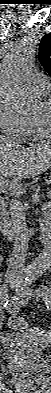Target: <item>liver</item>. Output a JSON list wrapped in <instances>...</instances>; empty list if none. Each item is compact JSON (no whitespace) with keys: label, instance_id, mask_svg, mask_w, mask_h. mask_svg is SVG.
<instances>
[{"label":"liver","instance_id":"obj_1","mask_svg":"<svg viewBox=\"0 0 51 393\" xmlns=\"http://www.w3.org/2000/svg\"><path fill=\"white\" fill-rule=\"evenodd\" d=\"M51 166V146L24 147L0 136V174L13 179L31 178Z\"/></svg>","mask_w":51,"mask_h":393}]
</instances>
